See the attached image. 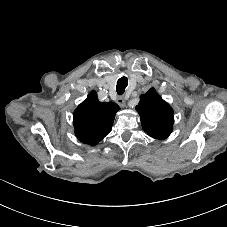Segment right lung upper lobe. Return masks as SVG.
I'll return each instance as SVG.
<instances>
[{
    "instance_id": "right-lung-upper-lobe-1",
    "label": "right lung upper lobe",
    "mask_w": 227,
    "mask_h": 227,
    "mask_svg": "<svg viewBox=\"0 0 227 227\" xmlns=\"http://www.w3.org/2000/svg\"><path fill=\"white\" fill-rule=\"evenodd\" d=\"M119 106L113 102H99L93 90L74 111L73 124L77 138L85 144L96 145L111 130Z\"/></svg>"
}]
</instances>
